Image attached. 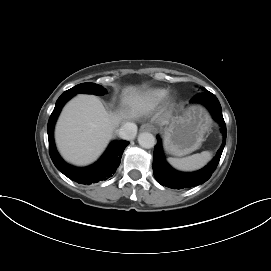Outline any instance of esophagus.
<instances>
[{"instance_id":"esophagus-1","label":"esophagus","mask_w":271,"mask_h":271,"mask_svg":"<svg viewBox=\"0 0 271 271\" xmlns=\"http://www.w3.org/2000/svg\"><path fill=\"white\" fill-rule=\"evenodd\" d=\"M141 131H147V132H151L153 131V126L150 124H143L140 128Z\"/></svg>"}]
</instances>
